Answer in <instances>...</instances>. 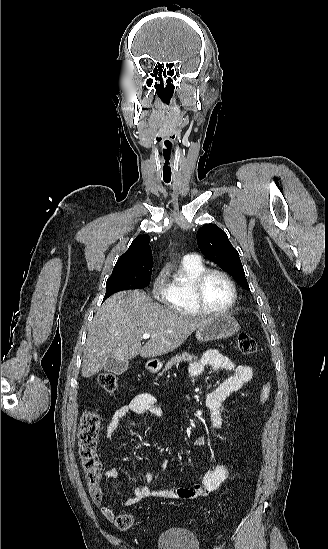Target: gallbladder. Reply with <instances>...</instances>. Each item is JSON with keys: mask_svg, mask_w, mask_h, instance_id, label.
Listing matches in <instances>:
<instances>
[{"mask_svg": "<svg viewBox=\"0 0 328 549\" xmlns=\"http://www.w3.org/2000/svg\"><path fill=\"white\" fill-rule=\"evenodd\" d=\"M130 361H116V359H107L104 365V371L108 375H122L127 369H129Z\"/></svg>", "mask_w": 328, "mask_h": 549, "instance_id": "bac80fb5", "label": "gallbladder"}]
</instances>
